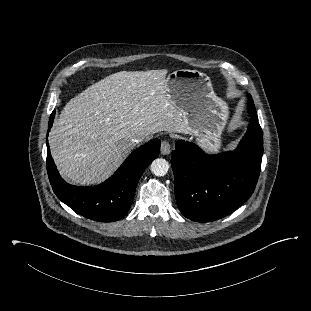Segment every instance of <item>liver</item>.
<instances>
[{
  "label": "liver",
  "instance_id": "obj_1",
  "mask_svg": "<svg viewBox=\"0 0 311 311\" xmlns=\"http://www.w3.org/2000/svg\"><path fill=\"white\" fill-rule=\"evenodd\" d=\"M167 69L121 71L89 86L63 108L49 135L60 174L78 185L108 178L134 148L160 131L192 133L167 91Z\"/></svg>",
  "mask_w": 311,
  "mask_h": 311
}]
</instances>
